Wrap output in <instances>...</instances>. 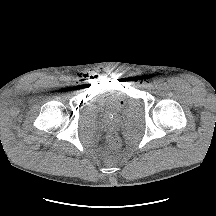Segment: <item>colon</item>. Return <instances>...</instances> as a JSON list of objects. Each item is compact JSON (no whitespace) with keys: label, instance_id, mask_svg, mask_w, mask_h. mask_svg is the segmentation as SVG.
<instances>
[{"label":"colon","instance_id":"5ec220e1","mask_svg":"<svg viewBox=\"0 0 216 216\" xmlns=\"http://www.w3.org/2000/svg\"><path fill=\"white\" fill-rule=\"evenodd\" d=\"M106 142L110 147H117L120 143V140L115 132H109L106 136Z\"/></svg>","mask_w":216,"mask_h":216}]
</instances>
